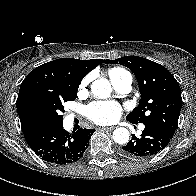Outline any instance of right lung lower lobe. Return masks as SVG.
I'll return each instance as SVG.
<instances>
[{
    "label": "right lung lower lobe",
    "mask_w": 196,
    "mask_h": 196,
    "mask_svg": "<svg viewBox=\"0 0 196 196\" xmlns=\"http://www.w3.org/2000/svg\"><path fill=\"white\" fill-rule=\"evenodd\" d=\"M94 131L95 129L80 128L70 134L60 124L37 132L27 142L43 160L63 165L83 156Z\"/></svg>",
    "instance_id": "obj_1"
}]
</instances>
